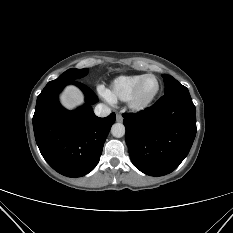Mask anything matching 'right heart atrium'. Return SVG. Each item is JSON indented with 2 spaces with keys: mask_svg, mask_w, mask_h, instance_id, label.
<instances>
[{
  "mask_svg": "<svg viewBox=\"0 0 233 233\" xmlns=\"http://www.w3.org/2000/svg\"><path fill=\"white\" fill-rule=\"evenodd\" d=\"M98 93L105 100L111 101L108 90H106L103 86L98 87Z\"/></svg>",
  "mask_w": 233,
  "mask_h": 233,
  "instance_id": "1",
  "label": "right heart atrium"
}]
</instances>
